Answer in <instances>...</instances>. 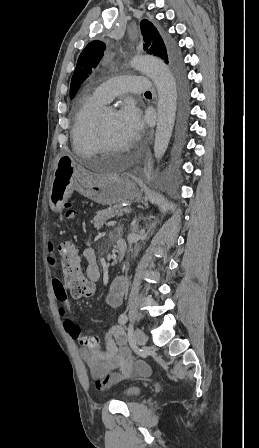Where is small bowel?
<instances>
[{
    "label": "small bowel",
    "instance_id": "1",
    "mask_svg": "<svg viewBox=\"0 0 259 448\" xmlns=\"http://www.w3.org/2000/svg\"><path fill=\"white\" fill-rule=\"evenodd\" d=\"M88 260V278L94 282L99 278V269L95 261V253L91 247L84 251ZM53 262V259H50ZM126 281L123 277H117L105 297L108 306L116 308L121 304L125 292ZM53 290L56 300L61 304L60 314L64 318L63 326L68 334L79 342L82 339L81 324L73 315L66 289L58 279L53 280ZM126 337L119 326H113L106 333V346L104 349H89L83 346L80 356L89 368L92 377L97 381L96 387L100 390L117 383L123 378L135 374L148 375L149 365L142 361L133 359L125 347ZM118 370V372H115Z\"/></svg>",
    "mask_w": 259,
    "mask_h": 448
}]
</instances>
